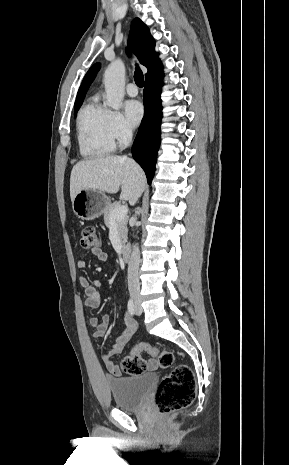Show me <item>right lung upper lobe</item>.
I'll return each instance as SVG.
<instances>
[{
	"label": "right lung upper lobe",
	"mask_w": 289,
	"mask_h": 465,
	"mask_svg": "<svg viewBox=\"0 0 289 465\" xmlns=\"http://www.w3.org/2000/svg\"><path fill=\"white\" fill-rule=\"evenodd\" d=\"M128 45L137 55L140 63L148 69L145 81L163 75L158 53L155 52V41L150 34L149 28L139 18H135L131 24ZM99 66L100 64L96 63L86 73L77 93L76 102L83 101L87 89L99 70Z\"/></svg>",
	"instance_id": "right-lung-upper-lobe-1"
}]
</instances>
